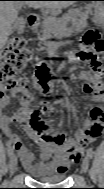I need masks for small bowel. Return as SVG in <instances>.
I'll use <instances>...</instances> for the list:
<instances>
[{
  "label": "small bowel",
  "instance_id": "1",
  "mask_svg": "<svg viewBox=\"0 0 104 189\" xmlns=\"http://www.w3.org/2000/svg\"><path fill=\"white\" fill-rule=\"evenodd\" d=\"M76 80L84 82L83 93L92 95L97 103L95 107L101 109L103 85L98 74L82 72ZM8 104L9 98L7 96L0 98V107L2 109L7 107ZM34 107L33 96L28 91L21 90L20 107L17 112L13 115H8L4 112L0 113V125L3 133L9 139V147L16 150L25 169L33 175L41 174L42 171H54L56 169L66 172L71 164L79 161L84 149L102 133V115L94 118L91 110L90 118L86 120L84 128L78 129L73 138L60 132H53L50 140H43L33 129L32 120L41 119L45 121L43 115L47 111V106L40 104L37 111ZM13 123L22 126L29 137L41 145L42 161L40 163H34V154L14 132L12 129Z\"/></svg>",
  "mask_w": 104,
  "mask_h": 189
}]
</instances>
